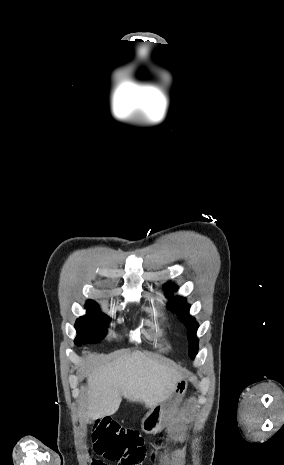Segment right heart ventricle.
I'll list each match as a JSON object with an SVG mask.
<instances>
[{
  "instance_id": "obj_1",
  "label": "right heart ventricle",
  "mask_w": 284,
  "mask_h": 465,
  "mask_svg": "<svg viewBox=\"0 0 284 465\" xmlns=\"http://www.w3.org/2000/svg\"><path fill=\"white\" fill-rule=\"evenodd\" d=\"M150 317L161 326H167L165 321L160 319L157 315L151 314Z\"/></svg>"
}]
</instances>
